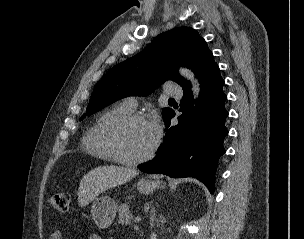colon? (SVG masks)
Returning a JSON list of instances; mask_svg holds the SVG:
<instances>
[{"label": "colon", "instance_id": "5ec220e1", "mask_svg": "<svg viewBox=\"0 0 304 239\" xmlns=\"http://www.w3.org/2000/svg\"><path fill=\"white\" fill-rule=\"evenodd\" d=\"M71 196L66 192L52 194L49 198L50 206L59 212H66L70 207Z\"/></svg>", "mask_w": 304, "mask_h": 239}]
</instances>
